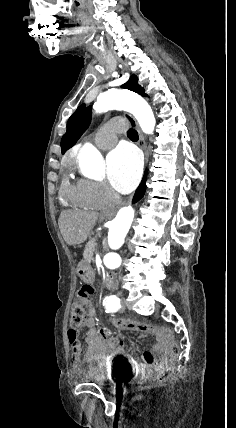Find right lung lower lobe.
I'll list each match as a JSON object with an SVG mask.
<instances>
[{
    "label": "right lung lower lobe",
    "instance_id": "1",
    "mask_svg": "<svg viewBox=\"0 0 236 428\" xmlns=\"http://www.w3.org/2000/svg\"><path fill=\"white\" fill-rule=\"evenodd\" d=\"M145 193V176L141 182V184L139 185L138 189L136 190L134 199H133V203L137 202L139 199H141L143 197Z\"/></svg>",
    "mask_w": 236,
    "mask_h": 428
}]
</instances>
